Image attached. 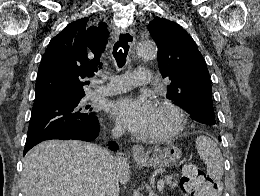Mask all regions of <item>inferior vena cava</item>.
Segmentation results:
<instances>
[{
  "mask_svg": "<svg viewBox=\"0 0 260 196\" xmlns=\"http://www.w3.org/2000/svg\"><path fill=\"white\" fill-rule=\"evenodd\" d=\"M122 132H115L114 136H121ZM119 158H114V156H104V162L107 164V176L105 184V196H119V184L116 174V164ZM103 196V194H100Z\"/></svg>",
  "mask_w": 260,
  "mask_h": 196,
  "instance_id": "obj_1",
  "label": "inferior vena cava"
}]
</instances>
